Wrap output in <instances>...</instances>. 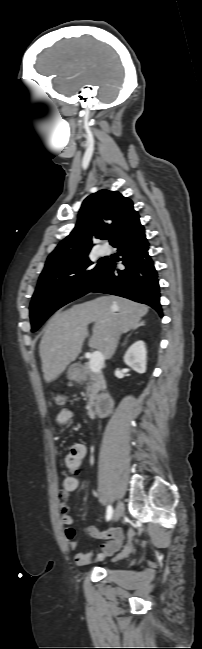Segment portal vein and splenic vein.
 <instances>
[{
  "instance_id": "obj_1",
  "label": "portal vein and splenic vein",
  "mask_w": 202,
  "mask_h": 649,
  "mask_svg": "<svg viewBox=\"0 0 202 649\" xmlns=\"http://www.w3.org/2000/svg\"><path fill=\"white\" fill-rule=\"evenodd\" d=\"M103 364H104L103 354L99 351L93 352L89 362L90 370L94 373L100 372V370L103 367Z\"/></svg>"
}]
</instances>
